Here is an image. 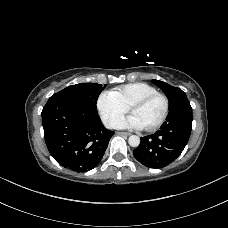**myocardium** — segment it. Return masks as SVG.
Segmentation results:
<instances>
[{
    "label": "myocardium",
    "instance_id": "1",
    "mask_svg": "<svg viewBox=\"0 0 228 228\" xmlns=\"http://www.w3.org/2000/svg\"><path fill=\"white\" fill-rule=\"evenodd\" d=\"M157 97H159V98H161L163 100V103H164L163 112H162L161 117L158 119V121L155 124H153L150 127L143 128L147 132L156 131L165 122V120H166V118L168 116V113H169V109H170V102H169L168 97L165 94L161 93V92L151 93V94L145 95L142 98L136 100L129 107V111H130V113H132V111L135 108L141 107V106L147 104L148 102H150L151 100H153L154 98H157Z\"/></svg>",
    "mask_w": 228,
    "mask_h": 228
}]
</instances>
